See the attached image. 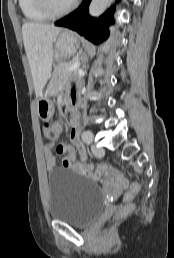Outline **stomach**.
<instances>
[{
  "label": "stomach",
  "mask_w": 174,
  "mask_h": 258,
  "mask_svg": "<svg viewBox=\"0 0 174 258\" xmlns=\"http://www.w3.org/2000/svg\"><path fill=\"white\" fill-rule=\"evenodd\" d=\"M79 47V42L75 34L71 31H62L55 40V56L57 58H67L73 56ZM52 88L49 85L42 90L37 98V111L42 120L50 119L54 114V105L51 100Z\"/></svg>",
  "instance_id": "obj_1"
}]
</instances>
